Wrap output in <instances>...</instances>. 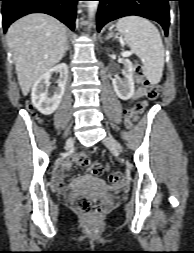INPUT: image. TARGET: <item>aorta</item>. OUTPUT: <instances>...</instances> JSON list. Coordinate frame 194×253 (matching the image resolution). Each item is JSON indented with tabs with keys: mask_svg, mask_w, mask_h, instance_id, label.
<instances>
[{
	"mask_svg": "<svg viewBox=\"0 0 194 253\" xmlns=\"http://www.w3.org/2000/svg\"><path fill=\"white\" fill-rule=\"evenodd\" d=\"M88 11H89V17L90 19L93 18L96 10H97V7H98V1H88Z\"/></svg>",
	"mask_w": 194,
	"mask_h": 253,
	"instance_id": "aorta-1",
	"label": "aorta"
}]
</instances>
